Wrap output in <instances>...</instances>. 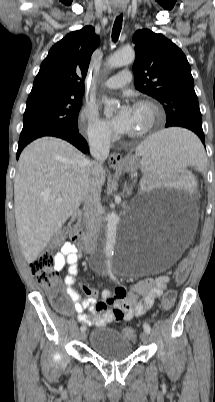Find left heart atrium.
Segmentation results:
<instances>
[{
  "label": "left heart atrium",
  "mask_w": 215,
  "mask_h": 402,
  "mask_svg": "<svg viewBox=\"0 0 215 402\" xmlns=\"http://www.w3.org/2000/svg\"><path fill=\"white\" fill-rule=\"evenodd\" d=\"M133 123V107L123 103L110 119L112 128L121 134L129 133Z\"/></svg>",
  "instance_id": "1"
}]
</instances>
